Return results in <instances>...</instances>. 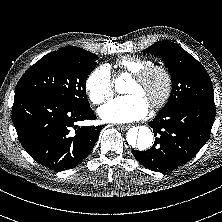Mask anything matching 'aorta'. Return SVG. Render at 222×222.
Wrapping results in <instances>:
<instances>
[{
	"label": "aorta",
	"mask_w": 222,
	"mask_h": 222,
	"mask_svg": "<svg viewBox=\"0 0 222 222\" xmlns=\"http://www.w3.org/2000/svg\"><path fill=\"white\" fill-rule=\"evenodd\" d=\"M126 77L117 78L115 80V89L119 94L127 92ZM127 142L133 149L144 151L149 149L153 144V133L150 128L146 126L133 127L127 133Z\"/></svg>",
	"instance_id": "aorta-1"
}]
</instances>
